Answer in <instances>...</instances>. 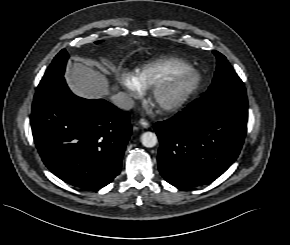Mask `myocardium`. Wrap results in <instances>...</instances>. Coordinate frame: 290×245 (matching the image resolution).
Returning a JSON list of instances; mask_svg holds the SVG:
<instances>
[{
    "instance_id": "f54148a6",
    "label": "myocardium",
    "mask_w": 290,
    "mask_h": 245,
    "mask_svg": "<svg viewBox=\"0 0 290 245\" xmlns=\"http://www.w3.org/2000/svg\"><path fill=\"white\" fill-rule=\"evenodd\" d=\"M185 79L189 82L179 95L169 102H164L162 95L166 91L177 87ZM202 82L201 73L193 67H188L178 72L169 73L154 83L150 88V98L163 113H173L180 110L191 100L200 89Z\"/></svg>"
}]
</instances>
